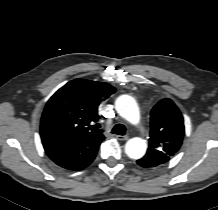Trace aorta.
Wrapping results in <instances>:
<instances>
[{
    "mask_svg": "<svg viewBox=\"0 0 218 210\" xmlns=\"http://www.w3.org/2000/svg\"><path fill=\"white\" fill-rule=\"evenodd\" d=\"M116 110L121 117L131 124H137L140 121V111L136 101L129 95H122L116 100ZM147 149L146 141L135 137L126 142L125 152L131 159L142 158Z\"/></svg>",
    "mask_w": 218,
    "mask_h": 210,
    "instance_id": "762f6f07",
    "label": "aorta"
}]
</instances>
